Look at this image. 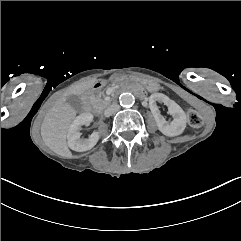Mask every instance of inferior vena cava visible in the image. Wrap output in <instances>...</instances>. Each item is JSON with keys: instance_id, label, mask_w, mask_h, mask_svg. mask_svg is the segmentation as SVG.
Returning a JSON list of instances; mask_svg holds the SVG:
<instances>
[{"instance_id": "inferior-vena-cava-1", "label": "inferior vena cava", "mask_w": 241, "mask_h": 241, "mask_svg": "<svg viewBox=\"0 0 241 241\" xmlns=\"http://www.w3.org/2000/svg\"><path fill=\"white\" fill-rule=\"evenodd\" d=\"M120 106L118 104H112L108 108L105 109L104 115L105 117L111 116L113 113L119 111Z\"/></svg>"}]
</instances>
